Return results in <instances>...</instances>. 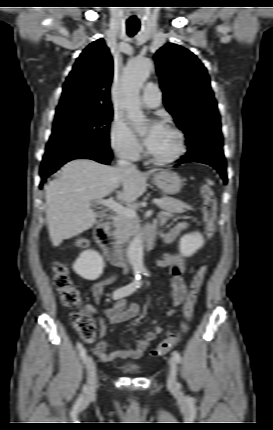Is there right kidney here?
<instances>
[{"instance_id": "ca27d5eb", "label": "right kidney", "mask_w": 273, "mask_h": 430, "mask_svg": "<svg viewBox=\"0 0 273 430\" xmlns=\"http://www.w3.org/2000/svg\"><path fill=\"white\" fill-rule=\"evenodd\" d=\"M105 263L103 257L95 250H86L80 254L73 269L80 277L94 281L103 273Z\"/></svg>"}]
</instances>
